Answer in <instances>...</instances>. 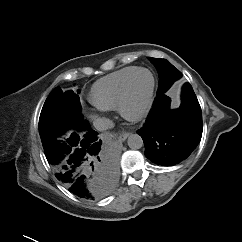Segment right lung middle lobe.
<instances>
[{
	"label": "right lung middle lobe",
	"instance_id": "obj_1",
	"mask_svg": "<svg viewBox=\"0 0 242 242\" xmlns=\"http://www.w3.org/2000/svg\"><path fill=\"white\" fill-rule=\"evenodd\" d=\"M79 96L72 90L63 92L55 88L46 99L39 119V133L43 147L60 136L67 128L81 129L88 126L81 114Z\"/></svg>",
	"mask_w": 242,
	"mask_h": 242
}]
</instances>
